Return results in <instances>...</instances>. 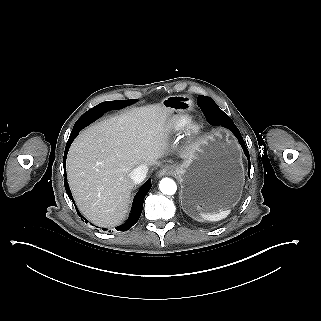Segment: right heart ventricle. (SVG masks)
Segmentation results:
<instances>
[{
  "label": "right heart ventricle",
  "instance_id": "obj_1",
  "mask_svg": "<svg viewBox=\"0 0 321 321\" xmlns=\"http://www.w3.org/2000/svg\"><path fill=\"white\" fill-rule=\"evenodd\" d=\"M192 114L186 111H176L166 116L157 128L159 135H168L180 131L190 120Z\"/></svg>",
  "mask_w": 321,
  "mask_h": 321
}]
</instances>
